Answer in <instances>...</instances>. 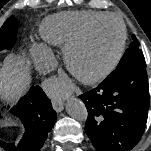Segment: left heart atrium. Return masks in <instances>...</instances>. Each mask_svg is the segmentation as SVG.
Returning <instances> with one entry per match:
<instances>
[{"label": "left heart atrium", "mask_w": 151, "mask_h": 151, "mask_svg": "<svg viewBox=\"0 0 151 151\" xmlns=\"http://www.w3.org/2000/svg\"><path fill=\"white\" fill-rule=\"evenodd\" d=\"M47 89L59 97L70 92L71 84L63 79H52L47 83Z\"/></svg>", "instance_id": "39dd6f15"}]
</instances>
